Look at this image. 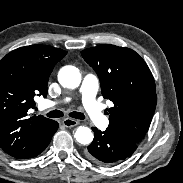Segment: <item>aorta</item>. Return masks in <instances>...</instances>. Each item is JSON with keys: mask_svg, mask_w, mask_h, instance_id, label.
<instances>
[{"mask_svg": "<svg viewBox=\"0 0 183 183\" xmlns=\"http://www.w3.org/2000/svg\"><path fill=\"white\" fill-rule=\"evenodd\" d=\"M58 81L65 88H77L81 83L80 71L75 66H64L58 73ZM74 137L80 144L83 145H88L93 140V134L91 130L84 126L77 128Z\"/></svg>", "mask_w": 183, "mask_h": 183, "instance_id": "obj_1", "label": "aorta"}]
</instances>
